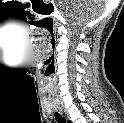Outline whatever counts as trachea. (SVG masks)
<instances>
[{"instance_id": "obj_1", "label": "trachea", "mask_w": 124, "mask_h": 123, "mask_svg": "<svg viewBox=\"0 0 124 123\" xmlns=\"http://www.w3.org/2000/svg\"><path fill=\"white\" fill-rule=\"evenodd\" d=\"M55 118L58 123H65L64 118L58 112H55Z\"/></svg>"}]
</instances>
